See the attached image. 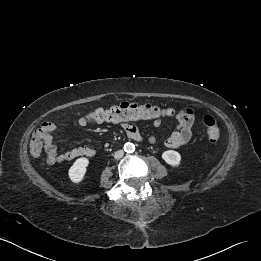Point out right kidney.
<instances>
[{
	"mask_svg": "<svg viewBox=\"0 0 261 261\" xmlns=\"http://www.w3.org/2000/svg\"><path fill=\"white\" fill-rule=\"evenodd\" d=\"M89 160L86 157L78 158L69 169V178L74 183H80L86 174Z\"/></svg>",
	"mask_w": 261,
	"mask_h": 261,
	"instance_id": "obj_1",
	"label": "right kidney"
}]
</instances>
